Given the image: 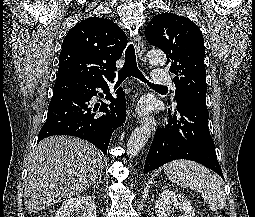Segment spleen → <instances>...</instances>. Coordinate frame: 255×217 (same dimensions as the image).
Masks as SVG:
<instances>
[{"instance_id":"3e777b00","label":"spleen","mask_w":255,"mask_h":217,"mask_svg":"<svg viewBox=\"0 0 255 217\" xmlns=\"http://www.w3.org/2000/svg\"><path fill=\"white\" fill-rule=\"evenodd\" d=\"M164 172L177 185L201 193L210 210L216 211L226 205L223 183L204 166L188 160H175L166 164Z\"/></svg>"}]
</instances>
